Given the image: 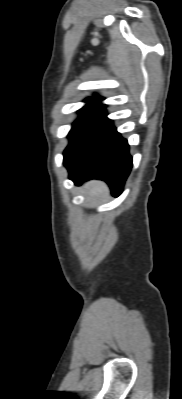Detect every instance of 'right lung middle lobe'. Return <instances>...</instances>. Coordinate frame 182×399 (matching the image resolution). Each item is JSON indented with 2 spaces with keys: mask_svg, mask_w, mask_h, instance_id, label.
<instances>
[{
  "mask_svg": "<svg viewBox=\"0 0 182 399\" xmlns=\"http://www.w3.org/2000/svg\"><path fill=\"white\" fill-rule=\"evenodd\" d=\"M85 102L87 103V105L79 110L80 117L73 124L70 133L88 117L105 107L103 104L97 103V101L95 100L86 99Z\"/></svg>",
  "mask_w": 182,
  "mask_h": 399,
  "instance_id": "right-lung-middle-lobe-1",
  "label": "right lung middle lobe"
}]
</instances>
